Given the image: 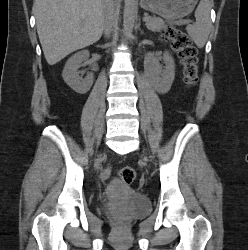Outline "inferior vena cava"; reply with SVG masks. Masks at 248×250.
I'll return each mask as SVG.
<instances>
[{"label": "inferior vena cava", "mask_w": 248, "mask_h": 250, "mask_svg": "<svg viewBox=\"0 0 248 250\" xmlns=\"http://www.w3.org/2000/svg\"><path fill=\"white\" fill-rule=\"evenodd\" d=\"M114 26V4L113 0H105L104 7V34L109 37Z\"/></svg>", "instance_id": "inferior-vena-cava-1"}]
</instances>
